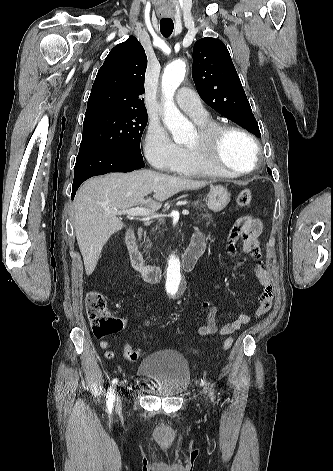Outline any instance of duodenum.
<instances>
[{
	"mask_svg": "<svg viewBox=\"0 0 333 471\" xmlns=\"http://www.w3.org/2000/svg\"><path fill=\"white\" fill-rule=\"evenodd\" d=\"M125 242L132 267L141 273L146 282H158L161 279L162 270L156 265L145 262L144 257L139 250L134 229L128 230ZM205 246L206 244L200 239L191 240L180 260L182 270L188 272L194 269L198 259L205 250Z\"/></svg>",
	"mask_w": 333,
	"mask_h": 471,
	"instance_id": "1",
	"label": "duodenum"
}]
</instances>
